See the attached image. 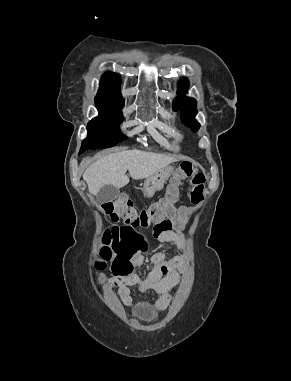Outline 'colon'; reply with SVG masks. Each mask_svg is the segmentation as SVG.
<instances>
[{"label": "colon", "mask_w": 291, "mask_h": 381, "mask_svg": "<svg viewBox=\"0 0 291 381\" xmlns=\"http://www.w3.org/2000/svg\"><path fill=\"white\" fill-rule=\"evenodd\" d=\"M185 177L193 178L191 199L198 203L202 199L203 185L189 165L181 167ZM182 177L173 180L168 194L144 209H137L134 202L127 197H118L102 205L103 212L112 221L123 220V227L106 229L100 237L98 265L104 268L112 262L114 269L127 272L131 268V258L135 253V243L142 231L150 228L167 230L170 228L168 220L175 212L178 200L179 184Z\"/></svg>", "instance_id": "obj_1"}]
</instances>
